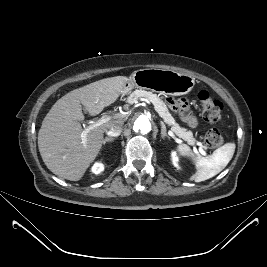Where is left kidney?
<instances>
[{"instance_id":"1","label":"left kidney","mask_w":267,"mask_h":267,"mask_svg":"<svg viewBox=\"0 0 267 267\" xmlns=\"http://www.w3.org/2000/svg\"><path fill=\"white\" fill-rule=\"evenodd\" d=\"M171 160H172L173 165L179 170L180 169V166L178 164L179 159L176 156L175 152H172V154H171Z\"/></svg>"}]
</instances>
